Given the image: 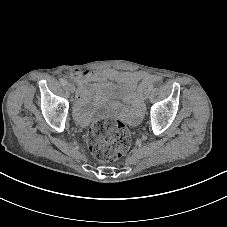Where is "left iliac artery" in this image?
<instances>
[{
  "mask_svg": "<svg viewBox=\"0 0 227 227\" xmlns=\"http://www.w3.org/2000/svg\"><path fill=\"white\" fill-rule=\"evenodd\" d=\"M148 89H149V90H152V89H153V85H150V86L148 87Z\"/></svg>",
  "mask_w": 227,
  "mask_h": 227,
  "instance_id": "1",
  "label": "left iliac artery"
}]
</instances>
